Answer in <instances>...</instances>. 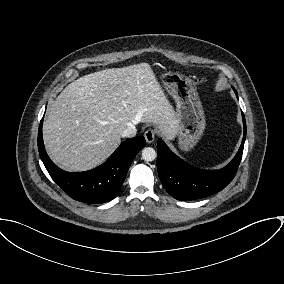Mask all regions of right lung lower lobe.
Instances as JSON below:
<instances>
[{"label":"right lung lower lobe","mask_w":284,"mask_h":284,"mask_svg":"<svg viewBox=\"0 0 284 284\" xmlns=\"http://www.w3.org/2000/svg\"><path fill=\"white\" fill-rule=\"evenodd\" d=\"M41 120L38 130V149L42 162L52 179L74 200L99 204L116 197L136 154L145 147L139 136L124 141L102 165L86 172L71 173L58 168L46 154L42 139Z\"/></svg>","instance_id":"obj_1"}]
</instances>
